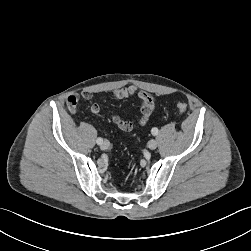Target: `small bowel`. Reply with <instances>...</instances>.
Returning <instances> with one entry per match:
<instances>
[{"mask_svg": "<svg viewBox=\"0 0 251 251\" xmlns=\"http://www.w3.org/2000/svg\"><path fill=\"white\" fill-rule=\"evenodd\" d=\"M115 100H122L129 96H137L141 102L140 116L137 121H127L123 120L119 115L112 114L111 119L113 123L122 131L131 132L140 127L145 126L152 113L154 112L156 101L155 98L147 91L138 88L137 86L131 85L128 87L116 89L111 93ZM92 94L90 92H82L81 94L71 95L67 99V106L71 112H75L77 104L81 99H90ZM92 114L97 115L101 111V106L99 103H93L90 107Z\"/></svg>", "mask_w": 251, "mask_h": 251, "instance_id": "c3829d8e", "label": "small bowel"}]
</instances>
